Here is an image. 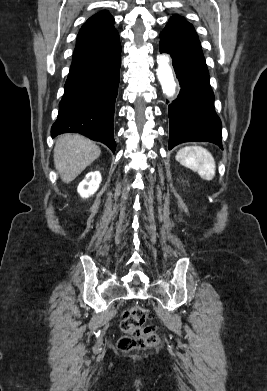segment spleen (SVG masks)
Masks as SVG:
<instances>
[{
  "label": "spleen",
  "mask_w": 267,
  "mask_h": 391,
  "mask_svg": "<svg viewBox=\"0 0 267 391\" xmlns=\"http://www.w3.org/2000/svg\"><path fill=\"white\" fill-rule=\"evenodd\" d=\"M177 160L181 165L190 168L207 181L215 176L216 165L211 153L200 146H188L177 152Z\"/></svg>",
  "instance_id": "obj_1"
}]
</instances>
